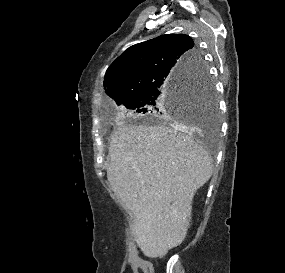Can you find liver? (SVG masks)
Returning <instances> with one entry per match:
<instances>
[{"instance_id": "6515ba94", "label": "liver", "mask_w": 285, "mask_h": 273, "mask_svg": "<svg viewBox=\"0 0 285 273\" xmlns=\"http://www.w3.org/2000/svg\"><path fill=\"white\" fill-rule=\"evenodd\" d=\"M182 126L124 125L111 135L107 178L134 215L145 256H163L187 235L192 200L212 176V158Z\"/></svg>"}]
</instances>
